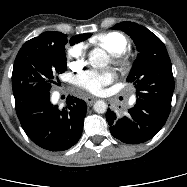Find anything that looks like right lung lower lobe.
Wrapping results in <instances>:
<instances>
[{
  "label": "right lung lower lobe",
  "instance_id": "right-lung-lower-lobe-1",
  "mask_svg": "<svg viewBox=\"0 0 187 187\" xmlns=\"http://www.w3.org/2000/svg\"><path fill=\"white\" fill-rule=\"evenodd\" d=\"M15 104L23 130L38 146L64 151L80 139L87 110L85 101L68 96L66 106L58 109L51 104L48 92Z\"/></svg>",
  "mask_w": 187,
  "mask_h": 187
}]
</instances>
